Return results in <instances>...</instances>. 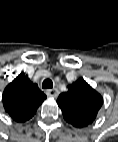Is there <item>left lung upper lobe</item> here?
<instances>
[{"label": "left lung upper lobe", "instance_id": "left-lung-upper-lobe-1", "mask_svg": "<svg viewBox=\"0 0 118 142\" xmlns=\"http://www.w3.org/2000/svg\"><path fill=\"white\" fill-rule=\"evenodd\" d=\"M57 104L68 123L83 128L96 119L103 98L83 78H79L68 87L67 92L59 95Z\"/></svg>", "mask_w": 118, "mask_h": 142}]
</instances>
